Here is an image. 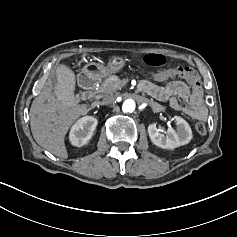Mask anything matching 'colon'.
<instances>
[{
	"label": "colon",
	"mask_w": 237,
	"mask_h": 237,
	"mask_svg": "<svg viewBox=\"0 0 237 237\" xmlns=\"http://www.w3.org/2000/svg\"><path fill=\"white\" fill-rule=\"evenodd\" d=\"M145 64L152 67H161L165 64L166 58L160 54H148L143 57ZM194 72L187 67H177L174 70L173 77H181L185 80H190L194 77ZM195 130L197 133L204 135L207 132V127L203 122H197L195 125Z\"/></svg>",
	"instance_id": "obj_1"
}]
</instances>
